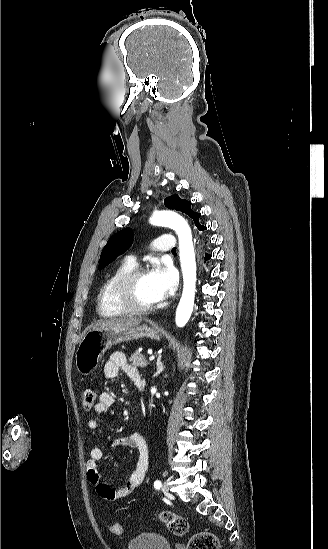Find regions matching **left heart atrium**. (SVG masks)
<instances>
[{
	"label": "left heart atrium",
	"instance_id": "1",
	"mask_svg": "<svg viewBox=\"0 0 328 549\" xmlns=\"http://www.w3.org/2000/svg\"><path fill=\"white\" fill-rule=\"evenodd\" d=\"M154 297L164 300L171 296L177 287V273L169 264L159 265L150 272Z\"/></svg>",
	"mask_w": 328,
	"mask_h": 549
}]
</instances>
